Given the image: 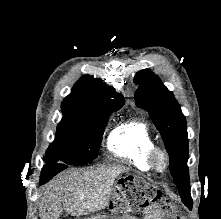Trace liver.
<instances>
[{"label":"liver","instance_id":"6515ba94","mask_svg":"<svg viewBox=\"0 0 221 219\" xmlns=\"http://www.w3.org/2000/svg\"><path fill=\"white\" fill-rule=\"evenodd\" d=\"M128 170L122 165H111L61 173L43 188L40 219H58L64 210L80 216L104 208L115 179Z\"/></svg>","mask_w":221,"mask_h":219}]
</instances>
